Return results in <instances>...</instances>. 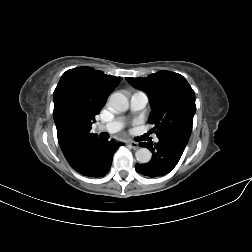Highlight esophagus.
Masks as SVG:
<instances>
[{
    "label": "esophagus",
    "mask_w": 252,
    "mask_h": 252,
    "mask_svg": "<svg viewBox=\"0 0 252 252\" xmlns=\"http://www.w3.org/2000/svg\"><path fill=\"white\" fill-rule=\"evenodd\" d=\"M128 144L133 148V149H138L139 145L135 141H130Z\"/></svg>",
    "instance_id": "esophagus-1"
}]
</instances>
